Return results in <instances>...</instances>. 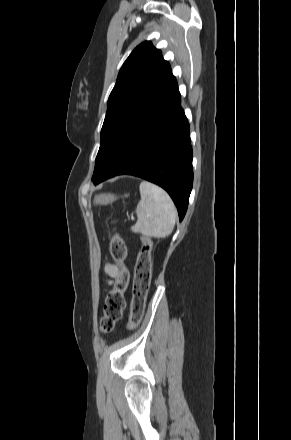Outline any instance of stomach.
<instances>
[{"instance_id":"0dacf381","label":"stomach","mask_w":291,"mask_h":440,"mask_svg":"<svg viewBox=\"0 0 291 440\" xmlns=\"http://www.w3.org/2000/svg\"><path fill=\"white\" fill-rule=\"evenodd\" d=\"M117 196L111 193L108 194H100L95 196L94 198V204H99V205H107V204H111L114 201L117 200Z\"/></svg>"}]
</instances>
